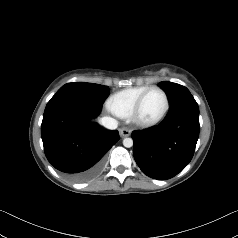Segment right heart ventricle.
I'll return each instance as SVG.
<instances>
[{
	"label": "right heart ventricle",
	"mask_w": 238,
	"mask_h": 238,
	"mask_svg": "<svg viewBox=\"0 0 238 238\" xmlns=\"http://www.w3.org/2000/svg\"><path fill=\"white\" fill-rule=\"evenodd\" d=\"M149 87V85H142L120 90L113 94L108 101L118 116L129 117L137 99Z\"/></svg>",
	"instance_id": "obj_1"
}]
</instances>
